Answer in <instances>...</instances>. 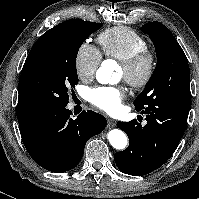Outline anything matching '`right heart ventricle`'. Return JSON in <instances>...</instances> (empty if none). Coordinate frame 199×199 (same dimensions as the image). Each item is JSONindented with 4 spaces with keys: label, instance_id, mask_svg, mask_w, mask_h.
<instances>
[{
    "label": "right heart ventricle",
    "instance_id": "1",
    "mask_svg": "<svg viewBox=\"0 0 199 199\" xmlns=\"http://www.w3.org/2000/svg\"><path fill=\"white\" fill-rule=\"evenodd\" d=\"M98 42L107 58L123 60L146 49L145 39L129 27L117 26L109 28L98 35Z\"/></svg>",
    "mask_w": 199,
    "mask_h": 199
}]
</instances>
